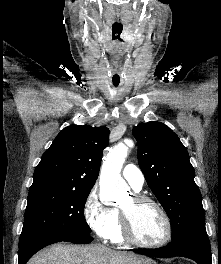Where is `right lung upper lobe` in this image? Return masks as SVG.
<instances>
[{
  "label": "right lung upper lobe",
  "mask_w": 221,
  "mask_h": 264,
  "mask_svg": "<svg viewBox=\"0 0 221 264\" xmlns=\"http://www.w3.org/2000/svg\"><path fill=\"white\" fill-rule=\"evenodd\" d=\"M109 129L73 125L63 129L43 154L29 191L58 188L91 190L99 175Z\"/></svg>",
  "instance_id": "1"
}]
</instances>
